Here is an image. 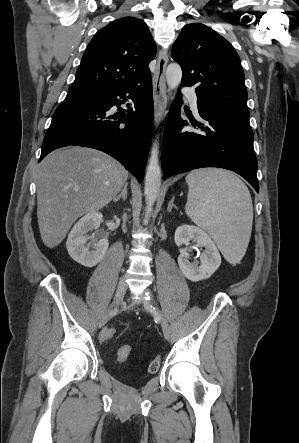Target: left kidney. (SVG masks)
I'll use <instances>...</instances> for the list:
<instances>
[{
	"label": "left kidney",
	"instance_id": "obj_1",
	"mask_svg": "<svg viewBox=\"0 0 299 443\" xmlns=\"http://www.w3.org/2000/svg\"><path fill=\"white\" fill-rule=\"evenodd\" d=\"M177 246L189 245L190 241L196 243V247H205L198 263H190L188 253L182 251L178 257V264L183 275L191 281H200L209 278L220 266L221 256L209 235L199 227L182 225L175 231L174 237Z\"/></svg>",
	"mask_w": 299,
	"mask_h": 443
}]
</instances>
